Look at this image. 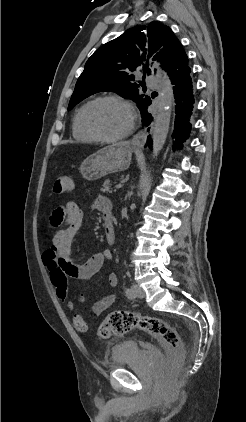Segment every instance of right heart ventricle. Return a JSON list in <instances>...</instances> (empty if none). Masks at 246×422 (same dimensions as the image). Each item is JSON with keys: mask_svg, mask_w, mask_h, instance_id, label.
Instances as JSON below:
<instances>
[{"mask_svg": "<svg viewBox=\"0 0 246 422\" xmlns=\"http://www.w3.org/2000/svg\"><path fill=\"white\" fill-rule=\"evenodd\" d=\"M87 104L88 103L83 104L76 111L72 124V132L76 140L80 142L90 143L95 140L88 134L83 125V112Z\"/></svg>", "mask_w": 246, "mask_h": 422, "instance_id": "right-heart-ventricle-1", "label": "right heart ventricle"}]
</instances>
